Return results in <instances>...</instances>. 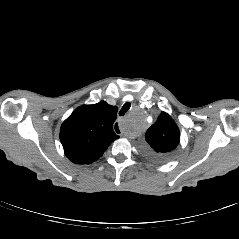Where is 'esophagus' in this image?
Returning <instances> with one entry per match:
<instances>
[{
	"instance_id": "34e87169",
	"label": "esophagus",
	"mask_w": 239,
	"mask_h": 239,
	"mask_svg": "<svg viewBox=\"0 0 239 239\" xmlns=\"http://www.w3.org/2000/svg\"><path fill=\"white\" fill-rule=\"evenodd\" d=\"M114 130H115V132H116V134L118 135V137H123V132H122V129H121V126H120V124L119 123H114Z\"/></svg>"
}]
</instances>
